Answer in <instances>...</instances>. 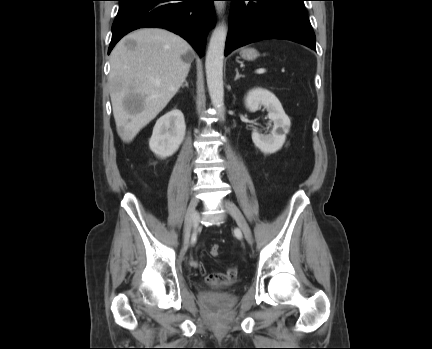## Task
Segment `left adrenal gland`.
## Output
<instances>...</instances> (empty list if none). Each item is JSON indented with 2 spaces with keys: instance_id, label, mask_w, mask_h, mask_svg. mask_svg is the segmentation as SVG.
Instances as JSON below:
<instances>
[{
  "instance_id": "left-adrenal-gland-1",
  "label": "left adrenal gland",
  "mask_w": 432,
  "mask_h": 349,
  "mask_svg": "<svg viewBox=\"0 0 432 349\" xmlns=\"http://www.w3.org/2000/svg\"><path fill=\"white\" fill-rule=\"evenodd\" d=\"M235 71H236V76L234 78L235 81L238 80L240 77H244L243 75L239 74V71L237 68L235 69Z\"/></svg>"
}]
</instances>
